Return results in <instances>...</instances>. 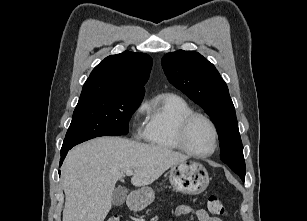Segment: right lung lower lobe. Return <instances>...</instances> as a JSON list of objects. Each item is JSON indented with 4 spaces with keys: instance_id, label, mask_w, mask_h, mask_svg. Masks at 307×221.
I'll return each mask as SVG.
<instances>
[{
    "instance_id": "1",
    "label": "right lung lower lobe",
    "mask_w": 307,
    "mask_h": 221,
    "mask_svg": "<svg viewBox=\"0 0 307 221\" xmlns=\"http://www.w3.org/2000/svg\"><path fill=\"white\" fill-rule=\"evenodd\" d=\"M67 152H68V150H66V151H61V154H62V155H61V159H60V165L62 164L64 158L66 157ZM59 174H60V172H59Z\"/></svg>"
}]
</instances>
